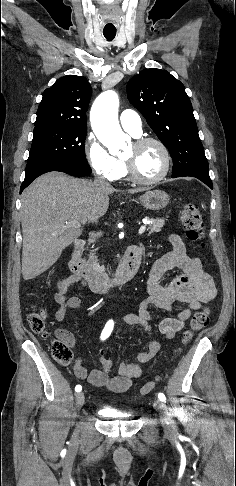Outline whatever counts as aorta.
<instances>
[{
  "instance_id": "aorta-1",
  "label": "aorta",
  "mask_w": 236,
  "mask_h": 486,
  "mask_svg": "<svg viewBox=\"0 0 236 486\" xmlns=\"http://www.w3.org/2000/svg\"><path fill=\"white\" fill-rule=\"evenodd\" d=\"M119 98L115 91L102 93L94 102L91 113V125L99 141L105 145L109 153L116 155L126 147L129 140L118 122Z\"/></svg>"
}]
</instances>
